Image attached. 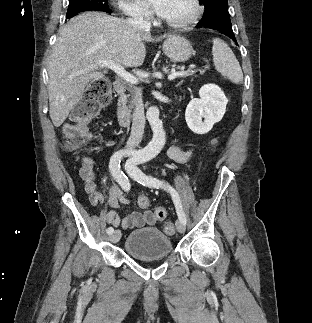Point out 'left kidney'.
Wrapping results in <instances>:
<instances>
[{
	"instance_id": "1",
	"label": "left kidney",
	"mask_w": 312,
	"mask_h": 323,
	"mask_svg": "<svg viewBox=\"0 0 312 323\" xmlns=\"http://www.w3.org/2000/svg\"><path fill=\"white\" fill-rule=\"evenodd\" d=\"M199 96L201 100L189 102L185 112V120L188 128L194 134H207L216 122L222 120L228 100L221 88L215 84L202 86Z\"/></svg>"
}]
</instances>
